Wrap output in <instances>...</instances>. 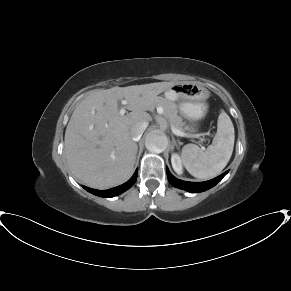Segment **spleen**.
<instances>
[{"mask_svg": "<svg viewBox=\"0 0 291 291\" xmlns=\"http://www.w3.org/2000/svg\"><path fill=\"white\" fill-rule=\"evenodd\" d=\"M234 140L233 123L228 114L222 111L218 117L217 133L206 151L195 144H187L182 148V159L187 171L198 179L217 176L231 158Z\"/></svg>", "mask_w": 291, "mask_h": 291, "instance_id": "3e777b00", "label": "spleen"}]
</instances>
